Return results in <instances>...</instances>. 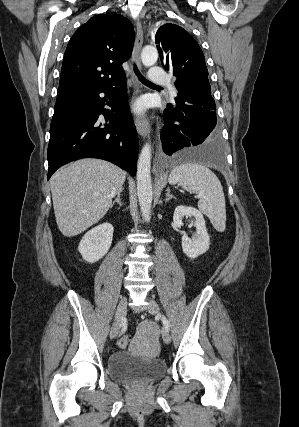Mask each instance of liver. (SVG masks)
<instances>
[{"label":"liver","instance_id":"liver-1","mask_svg":"<svg viewBox=\"0 0 299 427\" xmlns=\"http://www.w3.org/2000/svg\"><path fill=\"white\" fill-rule=\"evenodd\" d=\"M126 172L99 159L86 158L58 170L50 179L57 226L67 237L97 223L121 191Z\"/></svg>","mask_w":299,"mask_h":427}]
</instances>
